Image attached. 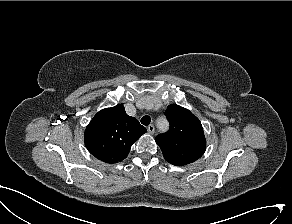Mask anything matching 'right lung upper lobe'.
Returning a JSON list of instances; mask_svg holds the SVG:
<instances>
[{
  "label": "right lung upper lobe",
  "mask_w": 292,
  "mask_h": 224,
  "mask_svg": "<svg viewBox=\"0 0 292 224\" xmlns=\"http://www.w3.org/2000/svg\"><path fill=\"white\" fill-rule=\"evenodd\" d=\"M146 132L139 121L119 104L99 111L84 132L85 145L97 159L117 163L125 159L133 143Z\"/></svg>",
  "instance_id": "obj_1"
}]
</instances>
